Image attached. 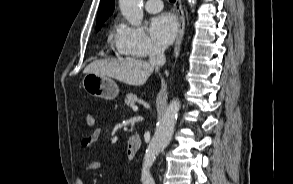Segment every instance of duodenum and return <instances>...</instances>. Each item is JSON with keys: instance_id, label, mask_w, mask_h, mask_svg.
Listing matches in <instances>:
<instances>
[{"instance_id": "obj_1", "label": "duodenum", "mask_w": 293, "mask_h": 184, "mask_svg": "<svg viewBox=\"0 0 293 184\" xmlns=\"http://www.w3.org/2000/svg\"><path fill=\"white\" fill-rule=\"evenodd\" d=\"M141 147V138L138 135H132L127 141V156L133 159Z\"/></svg>"}]
</instances>
